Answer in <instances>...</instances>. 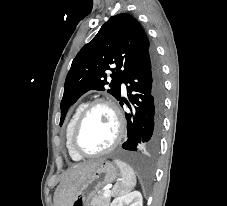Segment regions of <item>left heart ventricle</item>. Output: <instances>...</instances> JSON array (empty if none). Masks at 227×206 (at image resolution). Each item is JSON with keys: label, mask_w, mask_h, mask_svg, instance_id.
<instances>
[{"label": "left heart ventricle", "mask_w": 227, "mask_h": 206, "mask_svg": "<svg viewBox=\"0 0 227 206\" xmlns=\"http://www.w3.org/2000/svg\"><path fill=\"white\" fill-rule=\"evenodd\" d=\"M116 135V121L110 108L94 107L86 116L78 134V146L85 152L95 153L107 148Z\"/></svg>", "instance_id": "1"}]
</instances>
